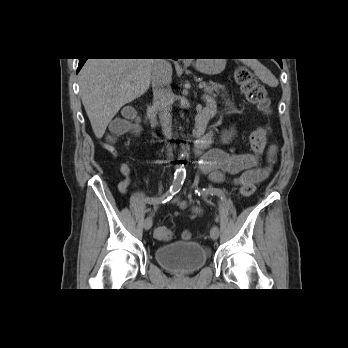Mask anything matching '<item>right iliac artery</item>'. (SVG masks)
Instances as JSON below:
<instances>
[{
    "instance_id": "1",
    "label": "right iliac artery",
    "mask_w": 348,
    "mask_h": 348,
    "mask_svg": "<svg viewBox=\"0 0 348 348\" xmlns=\"http://www.w3.org/2000/svg\"><path fill=\"white\" fill-rule=\"evenodd\" d=\"M185 176L186 171L184 168L177 170L172 185L162 197L156 198L154 195H148L145 196V201L152 202L153 204L165 203L169 201L176 193L181 190Z\"/></svg>"
}]
</instances>
